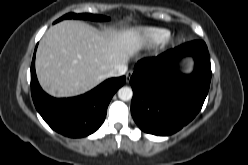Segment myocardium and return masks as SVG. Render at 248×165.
I'll list each match as a JSON object with an SVG mask.
<instances>
[{"mask_svg": "<svg viewBox=\"0 0 248 165\" xmlns=\"http://www.w3.org/2000/svg\"><path fill=\"white\" fill-rule=\"evenodd\" d=\"M172 40L171 39H167L166 40V43H170Z\"/></svg>", "mask_w": 248, "mask_h": 165, "instance_id": "1", "label": "myocardium"}]
</instances>
